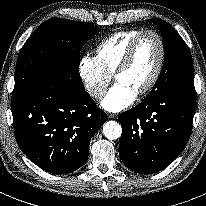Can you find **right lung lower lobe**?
<instances>
[{"instance_id": "obj_1", "label": "right lung lower lobe", "mask_w": 206, "mask_h": 206, "mask_svg": "<svg viewBox=\"0 0 206 206\" xmlns=\"http://www.w3.org/2000/svg\"><path fill=\"white\" fill-rule=\"evenodd\" d=\"M11 109L18 146L53 174L79 169L88 159L91 138L108 119L85 90L52 78L12 99Z\"/></svg>"}]
</instances>
